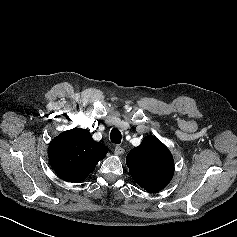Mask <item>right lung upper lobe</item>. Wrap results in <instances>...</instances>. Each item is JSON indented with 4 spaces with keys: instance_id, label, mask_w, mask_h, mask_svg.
Returning a JSON list of instances; mask_svg holds the SVG:
<instances>
[{
    "instance_id": "cb5924a9",
    "label": "right lung upper lobe",
    "mask_w": 237,
    "mask_h": 237,
    "mask_svg": "<svg viewBox=\"0 0 237 237\" xmlns=\"http://www.w3.org/2000/svg\"><path fill=\"white\" fill-rule=\"evenodd\" d=\"M106 153L105 145L94 141L90 132L82 128L61 133L48 148L50 164L56 174L76 183L85 180Z\"/></svg>"
}]
</instances>
